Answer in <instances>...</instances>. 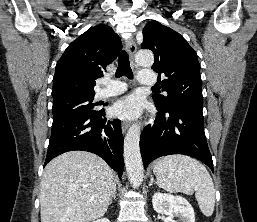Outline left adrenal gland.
I'll use <instances>...</instances> for the list:
<instances>
[{
    "mask_svg": "<svg viewBox=\"0 0 257 222\" xmlns=\"http://www.w3.org/2000/svg\"><path fill=\"white\" fill-rule=\"evenodd\" d=\"M153 183H156V181H154V177L152 175H150V183H149V186H151Z\"/></svg>",
    "mask_w": 257,
    "mask_h": 222,
    "instance_id": "left-adrenal-gland-1",
    "label": "left adrenal gland"
}]
</instances>
